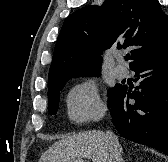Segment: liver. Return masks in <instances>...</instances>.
<instances>
[{
	"instance_id": "6515ba94",
	"label": "liver",
	"mask_w": 168,
	"mask_h": 162,
	"mask_svg": "<svg viewBox=\"0 0 168 162\" xmlns=\"http://www.w3.org/2000/svg\"><path fill=\"white\" fill-rule=\"evenodd\" d=\"M88 158L92 162H109L107 136L102 131H87L54 143L39 162H74Z\"/></svg>"
}]
</instances>
